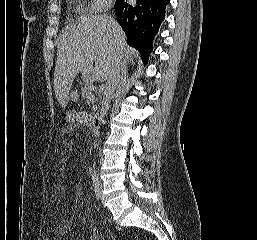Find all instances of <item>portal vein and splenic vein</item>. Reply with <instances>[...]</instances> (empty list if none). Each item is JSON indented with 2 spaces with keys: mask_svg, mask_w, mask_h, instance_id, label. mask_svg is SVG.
Segmentation results:
<instances>
[{
  "mask_svg": "<svg viewBox=\"0 0 257 240\" xmlns=\"http://www.w3.org/2000/svg\"><path fill=\"white\" fill-rule=\"evenodd\" d=\"M90 98L93 100L94 99V95H91Z\"/></svg>",
  "mask_w": 257,
  "mask_h": 240,
  "instance_id": "18ae733b",
  "label": "portal vein and splenic vein"
}]
</instances>
